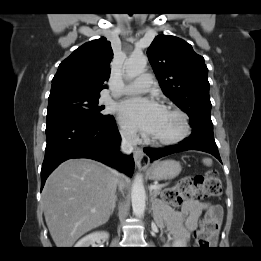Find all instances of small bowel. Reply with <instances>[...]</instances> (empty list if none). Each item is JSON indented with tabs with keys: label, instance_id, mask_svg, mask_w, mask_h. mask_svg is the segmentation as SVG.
<instances>
[{
	"label": "small bowel",
	"instance_id": "obj_1",
	"mask_svg": "<svg viewBox=\"0 0 261 261\" xmlns=\"http://www.w3.org/2000/svg\"><path fill=\"white\" fill-rule=\"evenodd\" d=\"M164 211L170 216L167 228L176 235H181L184 231L194 232L203 212L216 223L222 219V210L218 205L198 200L185 201L180 211H174L168 207H165Z\"/></svg>",
	"mask_w": 261,
	"mask_h": 261
}]
</instances>
